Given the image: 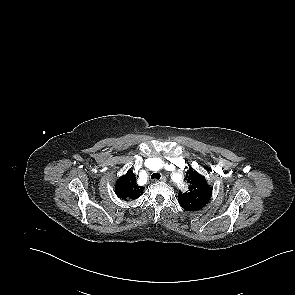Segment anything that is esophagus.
Listing matches in <instances>:
<instances>
[{"label":"esophagus","instance_id":"obj_1","mask_svg":"<svg viewBox=\"0 0 295 295\" xmlns=\"http://www.w3.org/2000/svg\"><path fill=\"white\" fill-rule=\"evenodd\" d=\"M159 182H165L166 181V177L165 176H162L161 178H160V180H158Z\"/></svg>","mask_w":295,"mask_h":295}]
</instances>
